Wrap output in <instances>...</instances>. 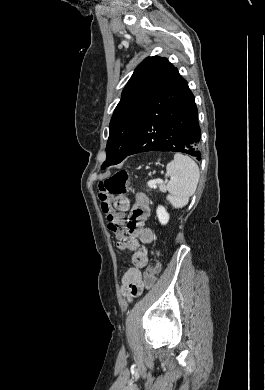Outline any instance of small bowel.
I'll return each instance as SVG.
<instances>
[{
    "mask_svg": "<svg viewBox=\"0 0 265 390\" xmlns=\"http://www.w3.org/2000/svg\"><path fill=\"white\" fill-rule=\"evenodd\" d=\"M114 207L122 213L130 210V217L126 224V236H121L118 248L121 251H132L131 266L122 277V293L127 299L138 297L144 290L141 269L149 261L147 250L141 244L152 243L154 236L149 228L144 227V222L150 212L149 198L143 193L135 195L134 204L131 207L129 199L124 195L116 196L113 200Z\"/></svg>",
    "mask_w": 265,
    "mask_h": 390,
    "instance_id": "1",
    "label": "small bowel"
}]
</instances>
